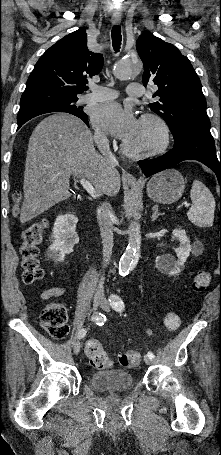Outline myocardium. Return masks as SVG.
<instances>
[{
    "mask_svg": "<svg viewBox=\"0 0 221 455\" xmlns=\"http://www.w3.org/2000/svg\"><path fill=\"white\" fill-rule=\"evenodd\" d=\"M151 122L153 123L159 133V141L155 145L144 148V149H137L131 147L126 142L122 143V151L134 158H144V157H151L158 154L163 153L170 144V129L167 122L158 114L156 113H145L140 117V122Z\"/></svg>",
    "mask_w": 221,
    "mask_h": 455,
    "instance_id": "obj_1",
    "label": "myocardium"
}]
</instances>
